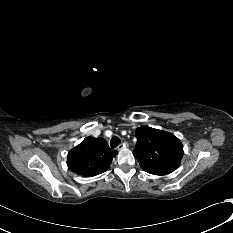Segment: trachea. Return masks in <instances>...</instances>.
Segmentation results:
<instances>
[{
	"mask_svg": "<svg viewBox=\"0 0 233 233\" xmlns=\"http://www.w3.org/2000/svg\"><path fill=\"white\" fill-rule=\"evenodd\" d=\"M120 139L117 136H113L110 141L111 148H115L119 145Z\"/></svg>",
	"mask_w": 233,
	"mask_h": 233,
	"instance_id": "3493384b",
	"label": "trachea"
}]
</instances>
